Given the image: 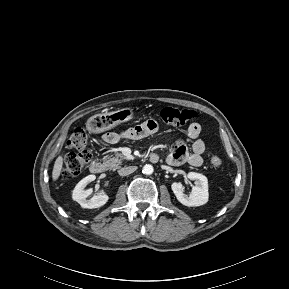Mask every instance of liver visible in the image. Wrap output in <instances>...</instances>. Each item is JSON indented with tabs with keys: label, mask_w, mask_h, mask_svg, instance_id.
I'll list each match as a JSON object with an SVG mask.
<instances>
[{
	"label": "liver",
	"mask_w": 289,
	"mask_h": 289,
	"mask_svg": "<svg viewBox=\"0 0 289 289\" xmlns=\"http://www.w3.org/2000/svg\"><path fill=\"white\" fill-rule=\"evenodd\" d=\"M62 167H63V157L59 156L54 163V167L52 171L53 181H56L59 178L61 171H62Z\"/></svg>",
	"instance_id": "6515ba94"
}]
</instances>
